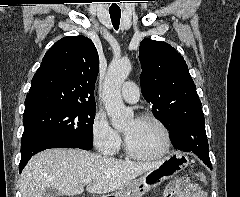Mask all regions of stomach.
I'll return each mask as SVG.
<instances>
[{"label": "stomach", "mask_w": 240, "mask_h": 197, "mask_svg": "<svg viewBox=\"0 0 240 197\" xmlns=\"http://www.w3.org/2000/svg\"><path fill=\"white\" fill-rule=\"evenodd\" d=\"M188 164L189 158L185 154L173 152L162 160L159 166L148 170L138 179L126 183L115 193L103 197H142L163 181L183 170Z\"/></svg>", "instance_id": "obj_1"}]
</instances>
